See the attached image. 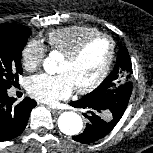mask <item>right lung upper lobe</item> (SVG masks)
Returning a JSON list of instances; mask_svg holds the SVG:
<instances>
[{
  "mask_svg": "<svg viewBox=\"0 0 153 153\" xmlns=\"http://www.w3.org/2000/svg\"><path fill=\"white\" fill-rule=\"evenodd\" d=\"M2 25H5V26H14V25H18V24L7 23V24H2ZM0 26H1V25H0Z\"/></svg>",
  "mask_w": 153,
  "mask_h": 153,
  "instance_id": "cb5924a9",
  "label": "right lung upper lobe"
}]
</instances>
